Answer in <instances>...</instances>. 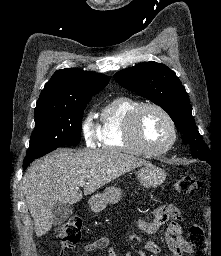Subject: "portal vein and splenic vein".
Segmentation results:
<instances>
[{
	"instance_id": "obj_1",
	"label": "portal vein and splenic vein",
	"mask_w": 221,
	"mask_h": 256,
	"mask_svg": "<svg viewBox=\"0 0 221 256\" xmlns=\"http://www.w3.org/2000/svg\"><path fill=\"white\" fill-rule=\"evenodd\" d=\"M85 185V182L84 181H81L80 183H79V186H84Z\"/></svg>"
}]
</instances>
